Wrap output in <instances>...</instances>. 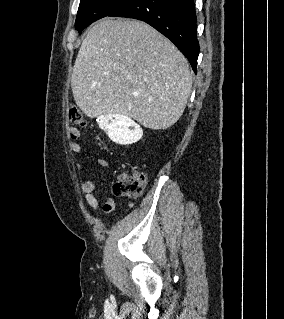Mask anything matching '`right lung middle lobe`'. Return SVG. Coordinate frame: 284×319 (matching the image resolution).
<instances>
[{"mask_svg": "<svg viewBox=\"0 0 284 319\" xmlns=\"http://www.w3.org/2000/svg\"><path fill=\"white\" fill-rule=\"evenodd\" d=\"M130 0H81L75 28L80 33L94 21L108 16Z\"/></svg>", "mask_w": 284, "mask_h": 319, "instance_id": "obj_1", "label": "right lung middle lobe"}]
</instances>
